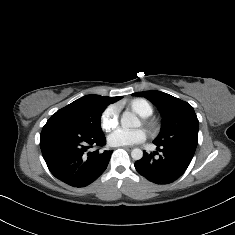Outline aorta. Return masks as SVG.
<instances>
[{
  "mask_svg": "<svg viewBox=\"0 0 235 235\" xmlns=\"http://www.w3.org/2000/svg\"><path fill=\"white\" fill-rule=\"evenodd\" d=\"M120 123L123 129L138 128L140 126L139 119L129 111L123 112ZM131 157L134 160H140L143 157V151L139 148H135L131 151Z\"/></svg>",
  "mask_w": 235,
  "mask_h": 235,
  "instance_id": "aorta-1",
  "label": "aorta"
}]
</instances>
